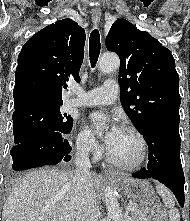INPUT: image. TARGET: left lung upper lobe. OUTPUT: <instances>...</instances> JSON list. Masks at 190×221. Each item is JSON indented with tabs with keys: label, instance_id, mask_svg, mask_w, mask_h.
Returning <instances> with one entry per match:
<instances>
[{
	"label": "left lung upper lobe",
	"instance_id": "left-lung-upper-lobe-1",
	"mask_svg": "<svg viewBox=\"0 0 190 221\" xmlns=\"http://www.w3.org/2000/svg\"><path fill=\"white\" fill-rule=\"evenodd\" d=\"M106 47L120 58L121 103L139 132L156 121L179 123V76L170 50L125 19L113 23Z\"/></svg>",
	"mask_w": 190,
	"mask_h": 221
}]
</instances>
